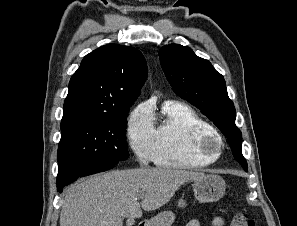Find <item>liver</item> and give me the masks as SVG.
I'll return each instance as SVG.
<instances>
[{
	"label": "liver",
	"instance_id": "6515ba94",
	"mask_svg": "<svg viewBox=\"0 0 297 226\" xmlns=\"http://www.w3.org/2000/svg\"><path fill=\"white\" fill-rule=\"evenodd\" d=\"M204 176L203 172L161 167L114 170L91 176L67 189L60 226H123V217L141 218L142 209L160 208L181 185Z\"/></svg>",
	"mask_w": 297,
	"mask_h": 226
}]
</instances>
